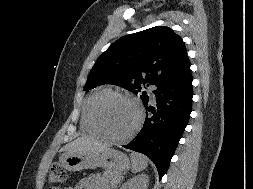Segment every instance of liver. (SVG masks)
Returning <instances> with one entry per match:
<instances>
[{"label": "liver", "instance_id": "1", "mask_svg": "<svg viewBox=\"0 0 253 189\" xmlns=\"http://www.w3.org/2000/svg\"><path fill=\"white\" fill-rule=\"evenodd\" d=\"M109 149L108 145L102 144L89 136H82L66 144L61 151L65 153H93L98 154Z\"/></svg>", "mask_w": 253, "mask_h": 189}]
</instances>
